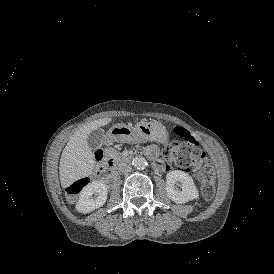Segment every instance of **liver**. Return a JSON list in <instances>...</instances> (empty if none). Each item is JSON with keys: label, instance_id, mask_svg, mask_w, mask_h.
Returning <instances> with one entry per match:
<instances>
[{"label": "liver", "instance_id": "1", "mask_svg": "<svg viewBox=\"0 0 274 274\" xmlns=\"http://www.w3.org/2000/svg\"><path fill=\"white\" fill-rule=\"evenodd\" d=\"M109 121V118H104L87 123L70 137L60 159L59 173L63 187H68L74 181L91 174L95 160L87 137L93 130Z\"/></svg>", "mask_w": 274, "mask_h": 274}]
</instances>
